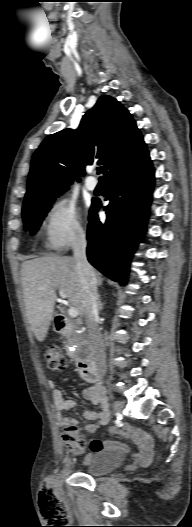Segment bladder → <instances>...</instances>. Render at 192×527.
Instances as JSON below:
<instances>
[{
	"label": "bladder",
	"instance_id": "obj_1",
	"mask_svg": "<svg viewBox=\"0 0 192 527\" xmlns=\"http://www.w3.org/2000/svg\"><path fill=\"white\" fill-rule=\"evenodd\" d=\"M125 455L117 449L105 448L93 451L82 461V468L87 475L97 477L107 475L119 468Z\"/></svg>",
	"mask_w": 192,
	"mask_h": 527
}]
</instances>
